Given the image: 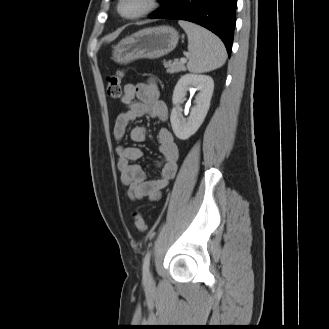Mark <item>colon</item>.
<instances>
[{
    "mask_svg": "<svg viewBox=\"0 0 329 329\" xmlns=\"http://www.w3.org/2000/svg\"><path fill=\"white\" fill-rule=\"evenodd\" d=\"M125 74L124 70L116 71L107 77V93L112 99H117L121 96V80ZM134 225L138 232L146 231L147 224L143 215L139 211L133 213Z\"/></svg>",
    "mask_w": 329,
    "mask_h": 329,
    "instance_id": "colon-1",
    "label": "colon"
}]
</instances>
